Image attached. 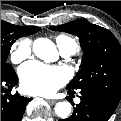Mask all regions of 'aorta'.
Wrapping results in <instances>:
<instances>
[{"label":"aorta","instance_id":"762f6f07","mask_svg":"<svg viewBox=\"0 0 121 121\" xmlns=\"http://www.w3.org/2000/svg\"><path fill=\"white\" fill-rule=\"evenodd\" d=\"M33 51L35 55L47 62H51L57 57L55 44L47 38H38L33 42ZM55 113L58 117L64 119L71 113V104L68 102H59L55 106Z\"/></svg>","mask_w":121,"mask_h":121}]
</instances>
